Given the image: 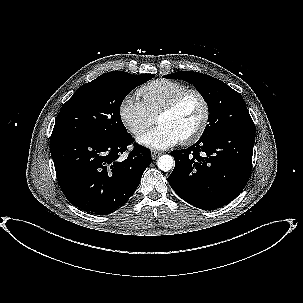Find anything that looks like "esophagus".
<instances>
[{
    "mask_svg": "<svg viewBox=\"0 0 303 303\" xmlns=\"http://www.w3.org/2000/svg\"><path fill=\"white\" fill-rule=\"evenodd\" d=\"M161 155V152L158 151H152V159H156Z\"/></svg>",
    "mask_w": 303,
    "mask_h": 303,
    "instance_id": "obj_1",
    "label": "esophagus"
}]
</instances>
